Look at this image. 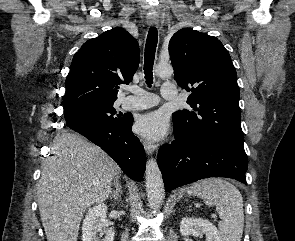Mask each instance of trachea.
I'll return each mask as SVG.
<instances>
[{"label": "trachea", "mask_w": 295, "mask_h": 241, "mask_svg": "<svg viewBox=\"0 0 295 241\" xmlns=\"http://www.w3.org/2000/svg\"><path fill=\"white\" fill-rule=\"evenodd\" d=\"M158 41V32L157 29L152 27L150 28L145 45V56H144V74L146 83L151 87L153 83V64L155 59V52Z\"/></svg>", "instance_id": "obj_1"}]
</instances>
